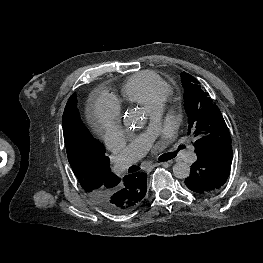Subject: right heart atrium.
<instances>
[{"instance_id": "d8ad5b80", "label": "right heart atrium", "mask_w": 263, "mask_h": 263, "mask_svg": "<svg viewBox=\"0 0 263 263\" xmlns=\"http://www.w3.org/2000/svg\"><path fill=\"white\" fill-rule=\"evenodd\" d=\"M92 119L103 138L109 140L120 128V106L111 95L100 93L92 106Z\"/></svg>"}]
</instances>
